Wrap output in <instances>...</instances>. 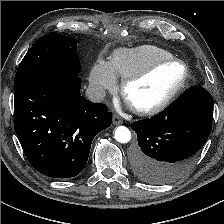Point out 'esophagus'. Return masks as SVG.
Wrapping results in <instances>:
<instances>
[{"label":"esophagus","mask_w":224,"mask_h":224,"mask_svg":"<svg viewBox=\"0 0 224 224\" xmlns=\"http://www.w3.org/2000/svg\"><path fill=\"white\" fill-rule=\"evenodd\" d=\"M122 123H123V120L118 115L113 116V124L120 125Z\"/></svg>","instance_id":"obj_1"}]
</instances>
